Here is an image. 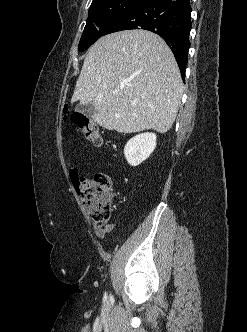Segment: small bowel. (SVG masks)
Returning <instances> with one entry per match:
<instances>
[{
    "mask_svg": "<svg viewBox=\"0 0 247 332\" xmlns=\"http://www.w3.org/2000/svg\"><path fill=\"white\" fill-rule=\"evenodd\" d=\"M74 175L72 174V177ZM111 229V226H106V227H96L95 232L99 237H102L107 231Z\"/></svg>",
    "mask_w": 247,
    "mask_h": 332,
    "instance_id": "c3829d8e",
    "label": "small bowel"
}]
</instances>
